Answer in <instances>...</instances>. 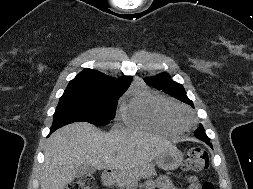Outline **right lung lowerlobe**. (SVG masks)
<instances>
[{
    "instance_id": "obj_1",
    "label": "right lung lower lobe",
    "mask_w": 253,
    "mask_h": 189,
    "mask_svg": "<svg viewBox=\"0 0 253 189\" xmlns=\"http://www.w3.org/2000/svg\"><path fill=\"white\" fill-rule=\"evenodd\" d=\"M55 130H57L56 128H51L50 133L54 132Z\"/></svg>"
}]
</instances>
